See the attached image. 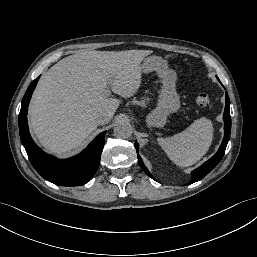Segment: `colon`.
Wrapping results in <instances>:
<instances>
[{
  "mask_svg": "<svg viewBox=\"0 0 257 257\" xmlns=\"http://www.w3.org/2000/svg\"><path fill=\"white\" fill-rule=\"evenodd\" d=\"M210 104V98L206 93H200L196 98V105L200 110H205Z\"/></svg>",
  "mask_w": 257,
  "mask_h": 257,
  "instance_id": "1",
  "label": "colon"
}]
</instances>
